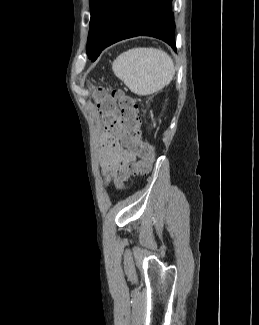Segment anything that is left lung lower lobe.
Instances as JSON below:
<instances>
[{"instance_id":"1","label":"left lung lower lobe","mask_w":259,"mask_h":325,"mask_svg":"<svg viewBox=\"0 0 259 325\" xmlns=\"http://www.w3.org/2000/svg\"><path fill=\"white\" fill-rule=\"evenodd\" d=\"M171 4L172 0H123L105 30L101 49L123 39L152 36L176 50Z\"/></svg>"}]
</instances>
